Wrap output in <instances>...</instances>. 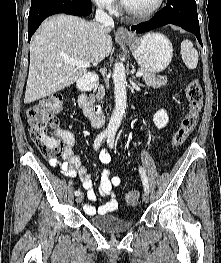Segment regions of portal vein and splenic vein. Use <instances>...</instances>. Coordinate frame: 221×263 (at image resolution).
<instances>
[{"label": "portal vein and splenic vein", "mask_w": 221, "mask_h": 263, "mask_svg": "<svg viewBox=\"0 0 221 263\" xmlns=\"http://www.w3.org/2000/svg\"><path fill=\"white\" fill-rule=\"evenodd\" d=\"M65 62L71 65L77 66V67H90V63L87 61L67 59ZM142 75H143V72L141 71L136 73V77H141Z\"/></svg>", "instance_id": "1"}]
</instances>
